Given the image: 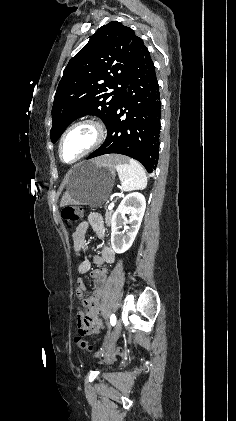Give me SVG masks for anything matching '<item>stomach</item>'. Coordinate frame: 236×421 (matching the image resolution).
<instances>
[{
  "mask_svg": "<svg viewBox=\"0 0 236 421\" xmlns=\"http://www.w3.org/2000/svg\"><path fill=\"white\" fill-rule=\"evenodd\" d=\"M114 180L115 166L82 160L69 170L67 192L73 204L101 206L108 200Z\"/></svg>",
  "mask_w": 236,
  "mask_h": 421,
  "instance_id": "stomach-1",
  "label": "stomach"
}]
</instances>
